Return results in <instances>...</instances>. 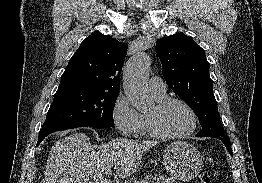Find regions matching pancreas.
<instances>
[{
	"label": "pancreas",
	"mask_w": 262,
	"mask_h": 183,
	"mask_svg": "<svg viewBox=\"0 0 262 183\" xmlns=\"http://www.w3.org/2000/svg\"><path fill=\"white\" fill-rule=\"evenodd\" d=\"M139 183H176L175 180L166 175H148Z\"/></svg>",
	"instance_id": "obj_1"
}]
</instances>
